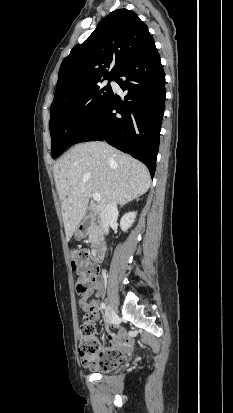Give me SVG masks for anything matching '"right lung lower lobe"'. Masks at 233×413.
<instances>
[{"label":"right lung lower lobe","mask_w":233,"mask_h":413,"mask_svg":"<svg viewBox=\"0 0 233 413\" xmlns=\"http://www.w3.org/2000/svg\"><path fill=\"white\" fill-rule=\"evenodd\" d=\"M113 80L127 91L125 101L112 94L97 118L74 143L106 140L142 161L153 178L166 93L165 74L155 43L123 64Z\"/></svg>","instance_id":"right-lung-lower-lobe-1"}]
</instances>
